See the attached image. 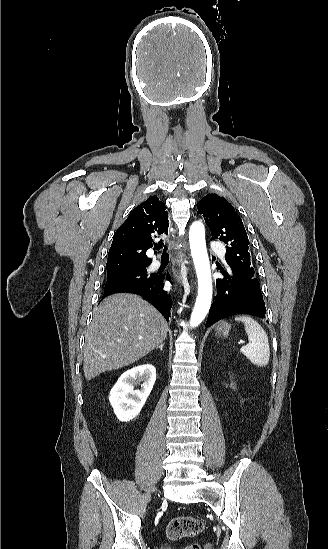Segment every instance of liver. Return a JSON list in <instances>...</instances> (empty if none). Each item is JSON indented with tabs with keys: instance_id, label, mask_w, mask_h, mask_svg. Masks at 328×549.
<instances>
[{
	"instance_id": "6515ba94",
	"label": "liver",
	"mask_w": 328,
	"mask_h": 549,
	"mask_svg": "<svg viewBox=\"0 0 328 549\" xmlns=\"http://www.w3.org/2000/svg\"><path fill=\"white\" fill-rule=\"evenodd\" d=\"M168 325L161 313L138 297L117 293L93 311L85 335L83 373L87 381L146 357L163 343Z\"/></svg>"
}]
</instances>
